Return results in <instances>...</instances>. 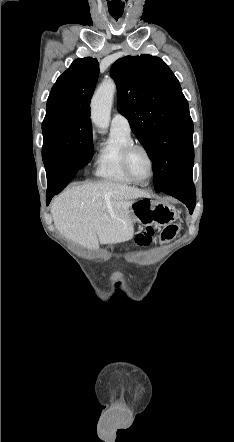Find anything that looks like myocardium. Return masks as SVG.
Masks as SVG:
<instances>
[{
	"label": "myocardium",
	"mask_w": 234,
	"mask_h": 442,
	"mask_svg": "<svg viewBox=\"0 0 234 442\" xmlns=\"http://www.w3.org/2000/svg\"><path fill=\"white\" fill-rule=\"evenodd\" d=\"M135 149H141V150H143V151L146 153V155H147V157H148V159H149V161H150L151 174H150V177L148 178V180L145 181V182H142V181L138 180V179L134 176V174L132 173L131 168H130V164H129L130 155H131L132 151L135 150ZM122 166H123V169H124L125 173L127 174V176H128V177H129L134 183L139 184V185H147V184H149L150 181H151V180L154 178V176H155L156 167H155V160H154V157H153L152 153L150 152V150H149L145 145H143V144H141V143L133 142V143H130L129 145H127V146L124 148V150H123V154H122Z\"/></svg>",
	"instance_id": "myocardium-1"
}]
</instances>
